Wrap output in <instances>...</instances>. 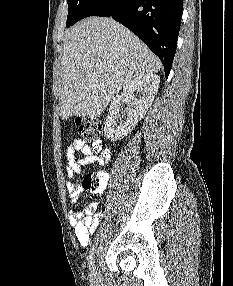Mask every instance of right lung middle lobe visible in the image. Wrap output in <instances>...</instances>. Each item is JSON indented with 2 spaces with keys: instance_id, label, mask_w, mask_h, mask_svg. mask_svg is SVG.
Returning a JSON list of instances; mask_svg holds the SVG:
<instances>
[{
  "instance_id": "1",
  "label": "right lung middle lobe",
  "mask_w": 233,
  "mask_h": 286,
  "mask_svg": "<svg viewBox=\"0 0 233 286\" xmlns=\"http://www.w3.org/2000/svg\"><path fill=\"white\" fill-rule=\"evenodd\" d=\"M92 1L93 0H67L68 16L66 27H70L75 24L78 17Z\"/></svg>"
}]
</instances>
